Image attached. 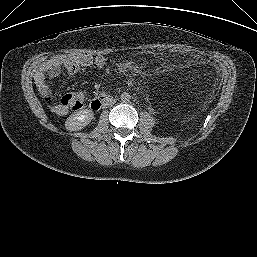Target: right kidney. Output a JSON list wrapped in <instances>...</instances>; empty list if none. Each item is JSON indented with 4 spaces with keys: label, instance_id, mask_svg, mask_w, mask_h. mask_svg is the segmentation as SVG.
Here are the masks:
<instances>
[{
    "label": "right kidney",
    "instance_id": "ca27d5eb",
    "mask_svg": "<svg viewBox=\"0 0 257 257\" xmlns=\"http://www.w3.org/2000/svg\"><path fill=\"white\" fill-rule=\"evenodd\" d=\"M93 116V112L89 109L79 110L67 118L65 127L69 131L81 130L91 122Z\"/></svg>",
    "mask_w": 257,
    "mask_h": 257
}]
</instances>
